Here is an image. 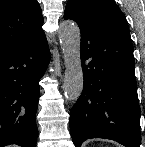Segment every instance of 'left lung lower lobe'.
Returning <instances> with one entry per match:
<instances>
[{
    "label": "left lung lower lobe",
    "instance_id": "1",
    "mask_svg": "<svg viewBox=\"0 0 145 147\" xmlns=\"http://www.w3.org/2000/svg\"><path fill=\"white\" fill-rule=\"evenodd\" d=\"M81 31L83 91L70 112L75 147L90 138L140 147V107L127 21L68 11Z\"/></svg>",
    "mask_w": 145,
    "mask_h": 147
}]
</instances>
